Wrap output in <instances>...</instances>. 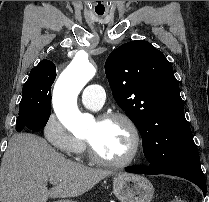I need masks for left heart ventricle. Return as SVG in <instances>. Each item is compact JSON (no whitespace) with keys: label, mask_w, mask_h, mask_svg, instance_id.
<instances>
[{"label":"left heart ventricle","mask_w":209,"mask_h":202,"mask_svg":"<svg viewBox=\"0 0 209 202\" xmlns=\"http://www.w3.org/2000/svg\"><path fill=\"white\" fill-rule=\"evenodd\" d=\"M85 138L92 141L103 157L112 161L125 159L130 154L133 146L131 132L121 121L106 123L95 121Z\"/></svg>","instance_id":"obj_1"}]
</instances>
